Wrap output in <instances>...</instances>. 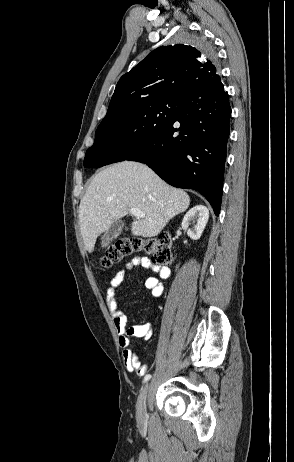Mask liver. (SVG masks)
Here are the masks:
<instances>
[{
    "label": "liver",
    "instance_id": "obj_1",
    "mask_svg": "<svg viewBox=\"0 0 294 462\" xmlns=\"http://www.w3.org/2000/svg\"><path fill=\"white\" fill-rule=\"evenodd\" d=\"M189 205L185 191L165 183L148 166L133 161L110 165L95 175L80 202L79 225L85 248L91 253L97 237L131 208L145 214L132 222V234L154 237Z\"/></svg>",
    "mask_w": 294,
    "mask_h": 462
}]
</instances>
